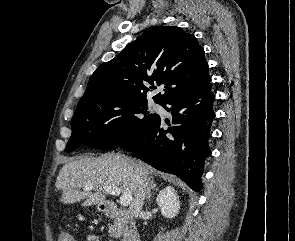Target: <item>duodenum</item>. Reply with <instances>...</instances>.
<instances>
[{"label": "duodenum", "instance_id": "410a0bca", "mask_svg": "<svg viewBox=\"0 0 295 241\" xmlns=\"http://www.w3.org/2000/svg\"><path fill=\"white\" fill-rule=\"evenodd\" d=\"M100 207L104 214L108 217L128 218L130 215L129 211L120 209L114 203H102ZM123 241H140V235L137 229L133 227L128 230L123 237Z\"/></svg>", "mask_w": 295, "mask_h": 241}]
</instances>
